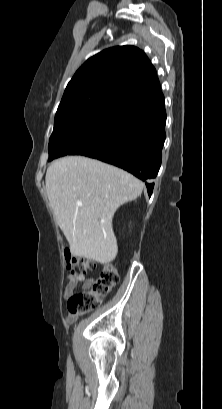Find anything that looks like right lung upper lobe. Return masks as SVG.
I'll use <instances>...</instances> for the list:
<instances>
[{
  "mask_svg": "<svg viewBox=\"0 0 222 409\" xmlns=\"http://www.w3.org/2000/svg\"><path fill=\"white\" fill-rule=\"evenodd\" d=\"M162 95L155 68L143 51L117 46L89 58L68 83L57 111L97 103L125 106Z\"/></svg>",
  "mask_w": 222,
  "mask_h": 409,
  "instance_id": "cb5924a9",
  "label": "right lung upper lobe"
}]
</instances>
